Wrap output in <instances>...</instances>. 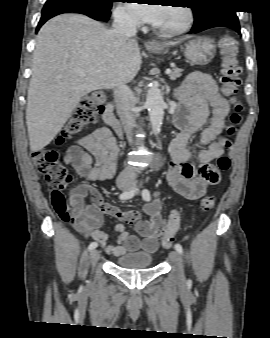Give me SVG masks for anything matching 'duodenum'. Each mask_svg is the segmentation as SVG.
Instances as JSON below:
<instances>
[{
    "mask_svg": "<svg viewBox=\"0 0 270 338\" xmlns=\"http://www.w3.org/2000/svg\"><path fill=\"white\" fill-rule=\"evenodd\" d=\"M103 120L110 125L115 132L121 136L122 132L120 129V123L115 114V107L112 104H107L102 112Z\"/></svg>",
    "mask_w": 270,
    "mask_h": 338,
    "instance_id": "obj_1",
    "label": "duodenum"
}]
</instances>
